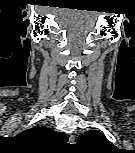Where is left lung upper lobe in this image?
I'll list each match as a JSON object with an SVG mask.
<instances>
[{"mask_svg":"<svg viewBox=\"0 0 135 153\" xmlns=\"http://www.w3.org/2000/svg\"><path fill=\"white\" fill-rule=\"evenodd\" d=\"M78 144L91 150L93 153H110L117 149L106 137L99 131L90 130L80 135Z\"/></svg>","mask_w":135,"mask_h":153,"instance_id":"left-lung-upper-lobe-1","label":"left lung upper lobe"}]
</instances>
